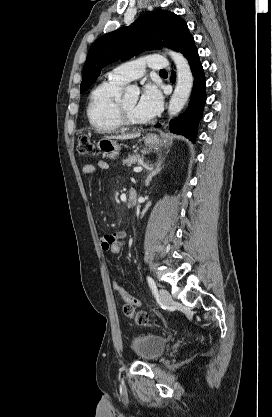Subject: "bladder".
Segmentation results:
<instances>
[{"label":"bladder","mask_w":272,"mask_h":417,"mask_svg":"<svg viewBox=\"0 0 272 417\" xmlns=\"http://www.w3.org/2000/svg\"><path fill=\"white\" fill-rule=\"evenodd\" d=\"M167 341L165 338L152 334L136 336L131 341L133 353L143 361L157 360L165 351Z\"/></svg>","instance_id":"obj_1"}]
</instances>
